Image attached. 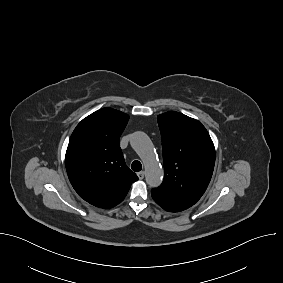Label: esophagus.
I'll return each instance as SVG.
<instances>
[{"label": "esophagus", "instance_id": "34e87169", "mask_svg": "<svg viewBox=\"0 0 283 283\" xmlns=\"http://www.w3.org/2000/svg\"><path fill=\"white\" fill-rule=\"evenodd\" d=\"M144 174H145L144 171H140V172L137 173V176H138L139 179L142 180L144 178Z\"/></svg>", "mask_w": 283, "mask_h": 283}]
</instances>
